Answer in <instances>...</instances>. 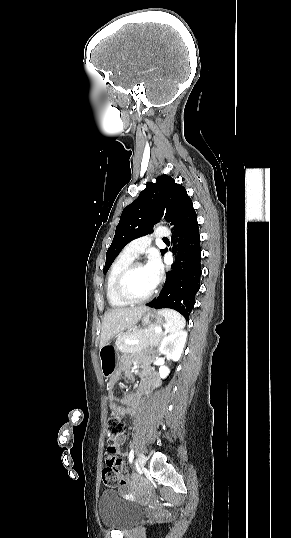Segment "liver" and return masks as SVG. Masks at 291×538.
<instances>
[{"mask_svg":"<svg viewBox=\"0 0 291 538\" xmlns=\"http://www.w3.org/2000/svg\"><path fill=\"white\" fill-rule=\"evenodd\" d=\"M149 310L146 306L122 307L108 310L103 318L100 336V348L118 333L132 329Z\"/></svg>","mask_w":291,"mask_h":538,"instance_id":"obj_1","label":"liver"}]
</instances>
